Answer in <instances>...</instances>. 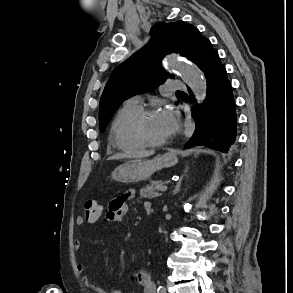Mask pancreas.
I'll list each match as a JSON object with an SVG mask.
<instances>
[{"label":"pancreas","instance_id":"obj_1","mask_svg":"<svg viewBox=\"0 0 293 293\" xmlns=\"http://www.w3.org/2000/svg\"><path fill=\"white\" fill-rule=\"evenodd\" d=\"M165 183L166 182H162V181L154 182L152 186L146 187L140 190V196L142 198H148V199H153V198L161 196L162 193H160L159 190Z\"/></svg>","mask_w":293,"mask_h":293}]
</instances>
